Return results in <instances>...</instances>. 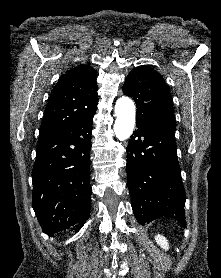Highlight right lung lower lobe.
Masks as SVG:
<instances>
[{"label": "right lung lower lobe", "instance_id": "98d812e1", "mask_svg": "<svg viewBox=\"0 0 221 278\" xmlns=\"http://www.w3.org/2000/svg\"><path fill=\"white\" fill-rule=\"evenodd\" d=\"M94 114L38 144L32 206L44 233L80 229L89 217L90 149Z\"/></svg>", "mask_w": 221, "mask_h": 278}]
</instances>
